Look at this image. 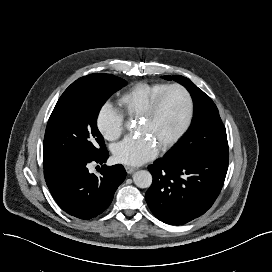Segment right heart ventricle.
Wrapping results in <instances>:
<instances>
[{
  "instance_id": "obj_1",
  "label": "right heart ventricle",
  "mask_w": 272,
  "mask_h": 272,
  "mask_svg": "<svg viewBox=\"0 0 272 272\" xmlns=\"http://www.w3.org/2000/svg\"><path fill=\"white\" fill-rule=\"evenodd\" d=\"M167 86L166 83H136L119 96L118 104L128 117L139 118L151 101Z\"/></svg>"
}]
</instances>
